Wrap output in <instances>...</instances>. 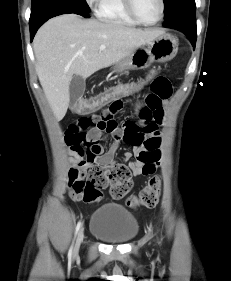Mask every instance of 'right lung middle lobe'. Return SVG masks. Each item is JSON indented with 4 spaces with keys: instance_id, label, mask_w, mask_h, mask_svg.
<instances>
[{
    "instance_id": "1",
    "label": "right lung middle lobe",
    "mask_w": 231,
    "mask_h": 281,
    "mask_svg": "<svg viewBox=\"0 0 231 281\" xmlns=\"http://www.w3.org/2000/svg\"><path fill=\"white\" fill-rule=\"evenodd\" d=\"M40 0H32V7L35 6ZM77 2L79 5H81L86 11H89V6L87 3H85L84 0H72Z\"/></svg>"
}]
</instances>
